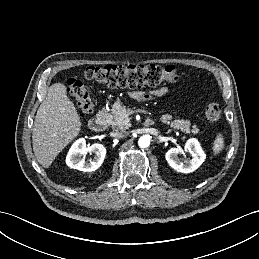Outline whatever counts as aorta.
Wrapping results in <instances>:
<instances>
[{
  "label": "aorta",
  "mask_w": 259,
  "mask_h": 259,
  "mask_svg": "<svg viewBox=\"0 0 259 259\" xmlns=\"http://www.w3.org/2000/svg\"><path fill=\"white\" fill-rule=\"evenodd\" d=\"M151 143V137L149 135L141 136V138L138 141V144L141 148H146Z\"/></svg>",
  "instance_id": "762f6f07"
}]
</instances>
